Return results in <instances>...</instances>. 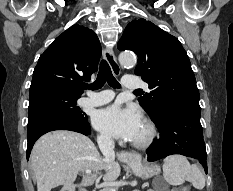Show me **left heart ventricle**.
Returning <instances> with one entry per match:
<instances>
[{
  "label": "left heart ventricle",
  "instance_id": "obj_1",
  "mask_svg": "<svg viewBox=\"0 0 233 191\" xmlns=\"http://www.w3.org/2000/svg\"><path fill=\"white\" fill-rule=\"evenodd\" d=\"M147 135V128L145 126V124L142 122L136 136L134 137V139L132 141H140L143 140Z\"/></svg>",
  "mask_w": 233,
  "mask_h": 191
}]
</instances>
